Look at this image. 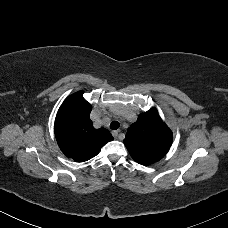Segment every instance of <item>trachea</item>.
Returning a JSON list of instances; mask_svg holds the SVG:
<instances>
[{
	"label": "trachea",
	"mask_w": 228,
	"mask_h": 228,
	"mask_svg": "<svg viewBox=\"0 0 228 228\" xmlns=\"http://www.w3.org/2000/svg\"><path fill=\"white\" fill-rule=\"evenodd\" d=\"M120 126L119 122L118 121H113L111 124H110V129L112 130H116L118 129Z\"/></svg>",
	"instance_id": "3493384b"
}]
</instances>
